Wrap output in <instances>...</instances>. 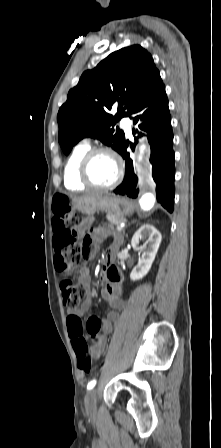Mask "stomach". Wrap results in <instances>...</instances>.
Listing matches in <instances>:
<instances>
[{
	"mask_svg": "<svg viewBox=\"0 0 221 448\" xmlns=\"http://www.w3.org/2000/svg\"><path fill=\"white\" fill-rule=\"evenodd\" d=\"M75 208L86 215H93L96 211H105L117 217H123L132 214L135 205L126 197L102 193L86 201L75 202Z\"/></svg>",
	"mask_w": 221,
	"mask_h": 448,
	"instance_id": "obj_1",
	"label": "stomach"
}]
</instances>
